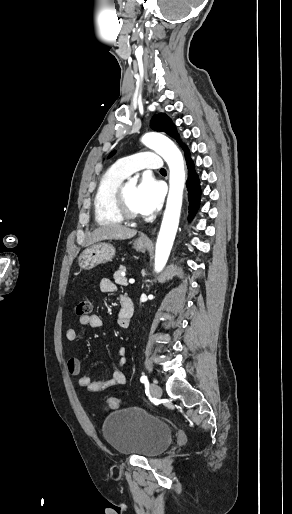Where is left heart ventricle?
<instances>
[{"instance_id":"1","label":"left heart ventricle","mask_w":292,"mask_h":514,"mask_svg":"<svg viewBox=\"0 0 292 514\" xmlns=\"http://www.w3.org/2000/svg\"><path fill=\"white\" fill-rule=\"evenodd\" d=\"M124 199H125V202L128 206V208L134 212V213H142L140 207H139V204H138V201H137V197H136V186L134 185H125V188H124Z\"/></svg>"}]
</instances>
